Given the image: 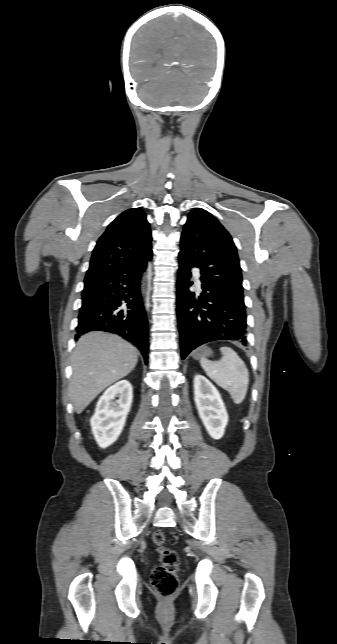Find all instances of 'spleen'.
I'll use <instances>...</instances> for the list:
<instances>
[{
  "label": "spleen",
  "mask_w": 337,
  "mask_h": 644,
  "mask_svg": "<svg viewBox=\"0 0 337 644\" xmlns=\"http://www.w3.org/2000/svg\"><path fill=\"white\" fill-rule=\"evenodd\" d=\"M222 358L210 361L203 357L201 367L218 386L229 392L233 402L240 404L245 399L249 372L243 360L229 347H221Z\"/></svg>",
  "instance_id": "1"
}]
</instances>
